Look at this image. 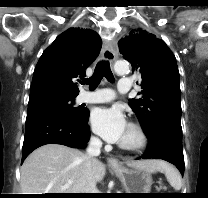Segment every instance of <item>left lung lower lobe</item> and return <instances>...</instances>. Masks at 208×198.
Masks as SVG:
<instances>
[{
	"label": "left lung lower lobe",
	"instance_id": "1",
	"mask_svg": "<svg viewBox=\"0 0 208 198\" xmlns=\"http://www.w3.org/2000/svg\"><path fill=\"white\" fill-rule=\"evenodd\" d=\"M148 139L149 145L142 159H163L174 164L181 174L184 173L182 134L169 127H163L148 136Z\"/></svg>",
	"mask_w": 208,
	"mask_h": 198
}]
</instances>
